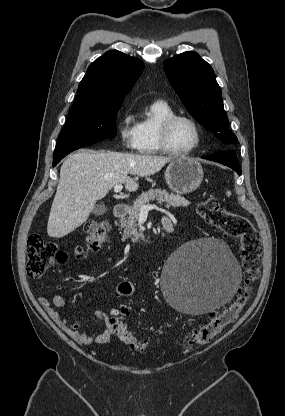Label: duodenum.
Returning <instances> with one entry per match:
<instances>
[{"label": "duodenum", "mask_w": 285, "mask_h": 416, "mask_svg": "<svg viewBox=\"0 0 285 416\" xmlns=\"http://www.w3.org/2000/svg\"><path fill=\"white\" fill-rule=\"evenodd\" d=\"M128 212V206L124 203H118L114 206L113 214L116 218L124 217ZM163 228L168 234L174 231V225L171 219L164 218L162 221Z\"/></svg>", "instance_id": "obj_1"}]
</instances>
